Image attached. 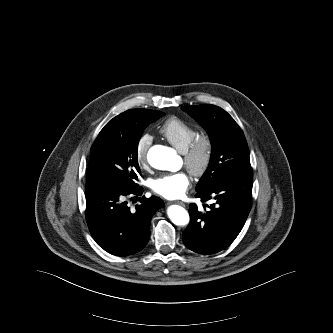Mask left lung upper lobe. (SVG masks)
Here are the masks:
<instances>
[{
  "mask_svg": "<svg viewBox=\"0 0 333 333\" xmlns=\"http://www.w3.org/2000/svg\"><path fill=\"white\" fill-rule=\"evenodd\" d=\"M183 110L208 131L212 143L211 160L196 191L235 175L252 173L245 136L226 111L214 105L184 106Z\"/></svg>",
  "mask_w": 333,
  "mask_h": 333,
  "instance_id": "5c2ea615",
  "label": "left lung upper lobe"
}]
</instances>
